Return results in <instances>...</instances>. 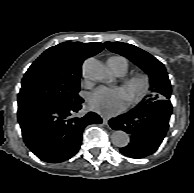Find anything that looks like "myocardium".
<instances>
[{"label": "myocardium", "mask_w": 194, "mask_h": 193, "mask_svg": "<svg viewBox=\"0 0 194 193\" xmlns=\"http://www.w3.org/2000/svg\"><path fill=\"white\" fill-rule=\"evenodd\" d=\"M135 85L138 86V89L128 98V103L130 105L137 104L148 95L151 87L149 76L143 73H137L125 78L123 81L125 89L131 88Z\"/></svg>", "instance_id": "obj_1"}]
</instances>
